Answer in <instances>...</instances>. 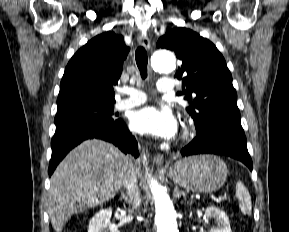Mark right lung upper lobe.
Masks as SVG:
<instances>
[{"instance_id":"1","label":"right lung upper lobe","mask_w":289,"mask_h":232,"mask_svg":"<svg viewBox=\"0 0 289 232\" xmlns=\"http://www.w3.org/2000/svg\"><path fill=\"white\" fill-rule=\"evenodd\" d=\"M129 48L122 35L104 32L88 41L69 61L60 83L57 107L113 105L123 61Z\"/></svg>"}]
</instances>
